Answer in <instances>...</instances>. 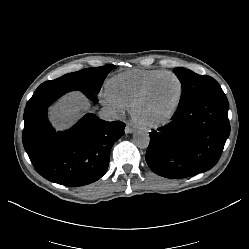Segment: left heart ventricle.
Wrapping results in <instances>:
<instances>
[{
	"label": "left heart ventricle",
	"instance_id": "obj_1",
	"mask_svg": "<svg viewBox=\"0 0 249 249\" xmlns=\"http://www.w3.org/2000/svg\"><path fill=\"white\" fill-rule=\"evenodd\" d=\"M179 96V84L171 76L160 79L137 109V116L144 121L165 117L174 107Z\"/></svg>",
	"mask_w": 249,
	"mask_h": 249
}]
</instances>
